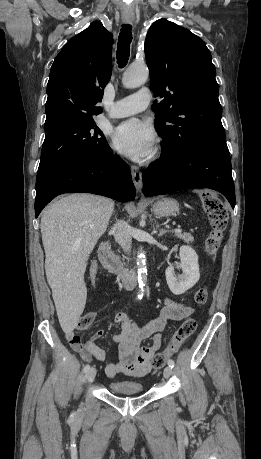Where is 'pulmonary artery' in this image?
Instances as JSON below:
<instances>
[{"label":"pulmonary artery","mask_w":261,"mask_h":459,"mask_svg":"<svg viewBox=\"0 0 261 459\" xmlns=\"http://www.w3.org/2000/svg\"><path fill=\"white\" fill-rule=\"evenodd\" d=\"M152 94L148 88H142L136 93L114 102L109 111V117L122 118L139 113L151 103Z\"/></svg>","instance_id":"e3ab8cb5"}]
</instances>
